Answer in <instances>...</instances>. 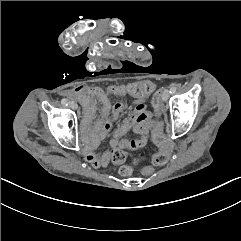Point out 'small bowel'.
<instances>
[{
    "label": "small bowel",
    "mask_w": 241,
    "mask_h": 241,
    "mask_svg": "<svg viewBox=\"0 0 241 241\" xmlns=\"http://www.w3.org/2000/svg\"><path fill=\"white\" fill-rule=\"evenodd\" d=\"M131 85H111L106 90L100 87L79 85L69 93V95L76 97L84 106V123L86 127L82 131V136L85 140L89 141L91 147L96 146L107 135L111 129L112 122L127 107V104L122 101L112 104L109 96H132L130 93ZM133 98V115L113 132V137L109 143L111 151H107L101 155L91 151L85 154V159L94 167L107 166L111 159V152L115 149L131 151L144 148L148 144L150 132L155 126V120L152 113L147 110L142 97ZM94 100H98L101 104L102 119L95 125H92L95 111ZM129 131L135 132L138 137L125 139L124 136Z\"/></svg>",
    "instance_id": "small-bowel-1"
}]
</instances>
